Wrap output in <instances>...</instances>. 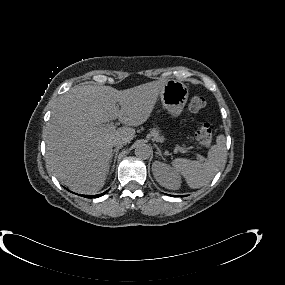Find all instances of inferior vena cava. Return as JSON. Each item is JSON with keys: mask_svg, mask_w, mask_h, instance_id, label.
<instances>
[{"mask_svg": "<svg viewBox=\"0 0 285 285\" xmlns=\"http://www.w3.org/2000/svg\"><path fill=\"white\" fill-rule=\"evenodd\" d=\"M127 144V139L124 137H118L113 140V146L122 147L123 145Z\"/></svg>", "mask_w": 285, "mask_h": 285, "instance_id": "obj_1", "label": "inferior vena cava"}]
</instances>
